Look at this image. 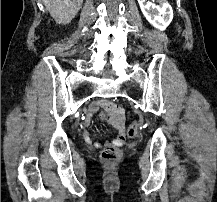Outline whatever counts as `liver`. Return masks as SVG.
Here are the masks:
<instances>
[{"label":"liver","instance_id":"6515ba94","mask_svg":"<svg viewBox=\"0 0 217 202\" xmlns=\"http://www.w3.org/2000/svg\"><path fill=\"white\" fill-rule=\"evenodd\" d=\"M56 24H70L78 14L83 0H42Z\"/></svg>","mask_w":217,"mask_h":202}]
</instances>
